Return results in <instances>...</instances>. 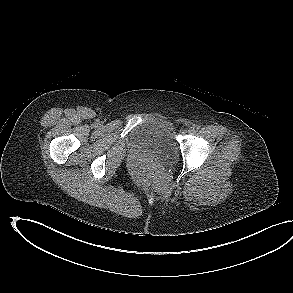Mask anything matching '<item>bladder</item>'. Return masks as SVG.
Instances as JSON below:
<instances>
[{
	"label": "bladder",
	"mask_w": 293,
	"mask_h": 293,
	"mask_svg": "<svg viewBox=\"0 0 293 293\" xmlns=\"http://www.w3.org/2000/svg\"><path fill=\"white\" fill-rule=\"evenodd\" d=\"M131 140L136 147L160 164L171 163L178 156L174 128L171 122L162 117L143 121L131 132Z\"/></svg>",
	"instance_id": "31cf9c89"
}]
</instances>
